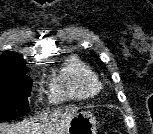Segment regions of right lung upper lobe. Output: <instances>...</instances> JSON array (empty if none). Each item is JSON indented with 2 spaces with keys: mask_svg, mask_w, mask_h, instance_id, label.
Segmentation results:
<instances>
[{
  "mask_svg": "<svg viewBox=\"0 0 153 134\" xmlns=\"http://www.w3.org/2000/svg\"><path fill=\"white\" fill-rule=\"evenodd\" d=\"M26 61L17 53L5 52L0 56L1 76H24L27 73Z\"/></svg>",
  "mask_w": 153,
  "mask_h": 134,
  "instance_id": "right-lung-upper-lobe-1",
  "label": "right lung upper lobe"
}]
</instances>
